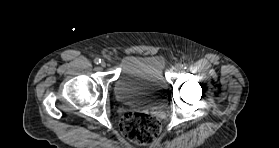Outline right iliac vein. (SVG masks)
I'll list each match as a JSON object with an SVG mask.
<instances>
[{
    "instance_id": "right-iliac-vein-1",
    "label": "right iliac vein",
    "mask_w": 279,
    "mask_h": 148,
    "mask_svg": "<svg viewBox=\"0 0 279 148\" xmlns=\"http://www.w3.org/2000/svg\"><path fill=\"white\" fill-rule=\"evenodd\" d=\"M100 65H101L102 68L106 67V63L104 61H102Z\"/></svg>"
}]
</instances>
